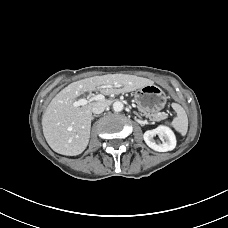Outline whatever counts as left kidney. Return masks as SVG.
<instances>
[{"label": "left kidney", "mask_w": 228, "mask_h": 228, "mask_svg": "<svg viewBox=\"0 0 228 228\" xmlns=\"http://www.w3.org/2000/svg\"><path fill=\"white\" fill-rule=\"evenodd\" d=\"M158 135L162 143L156 142L154 137ZM145 143L153 150L158 152L171 151L176 147V137L173 131L166 126H158L156 129L148 130L143 135Z\"/></svg>", "instance_id": "left-kidney-1"}]
</instances>
